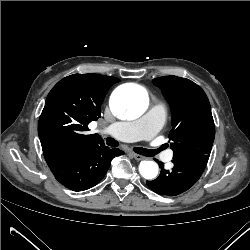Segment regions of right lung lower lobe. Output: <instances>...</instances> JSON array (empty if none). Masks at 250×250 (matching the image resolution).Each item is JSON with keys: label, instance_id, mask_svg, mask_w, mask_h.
Masks as SVG:
<instances>
[{"label": "right lung lower lobe", "instance_id": "obj_1", "mask_svg": "<svg viewBox=\"0 0 250 250\" xmlns=\"http://www.w3.org/2000/svg\"><path fill=\"white\" fill-rule=\"evenodd\" d=\"M122 154L123 151L119 149L98 144L47 164L62 185L73 191H83L98 184L108 171L112 159Z\"/></svg>", "mask_w": 250, "mask_h": 250}]
</instances>
